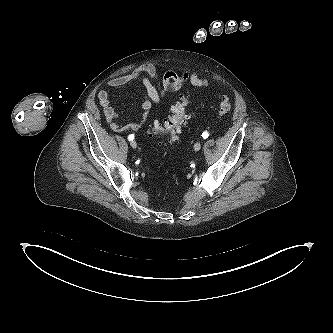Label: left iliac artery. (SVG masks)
<instances>
[{
	"instance_id": "44dca946",
	"label": "left iliac artery",
	"mask_w": 333,
	"mask_h": 333,
	"mask_svg": "<svg viewBox=\"0 0 333 333\" xmlns=\"http://www.w3.org/2000/svg\"><path fill=\"white\" fill-rule=\"evenodd\" d=\"M208 136H209V134H208L207 131H204V132L202 133V137H203L204 139H207Z\"/></svg>"
}]
</instances>
